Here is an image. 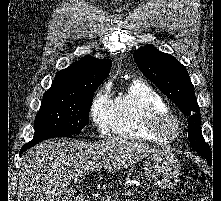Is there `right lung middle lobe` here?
<instances>
[{"label": "right lung middle lobe", "instance_id": "obj_1", "mask_svg": "<svg viewBox=\"0 0 221 201\" xmlns=\"http://www.w3.org/2000/svg\"><path fill=\"white\" fill-rule=\"evenodd\" d=\"M93 96L94 92L80 95L45 92L35 118L33 139L51 134L79 133L88 124Z\"/></svg>", "mask_w": 221, "mask_h": 201}]
</instances>
